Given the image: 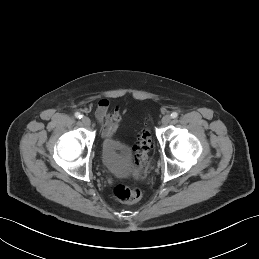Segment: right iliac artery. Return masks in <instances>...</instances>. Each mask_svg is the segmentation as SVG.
Returning <instances> with one entry per match:
<instances>
[{"instance_id": "obj_1", "label": "right iliac artery", "mask_w": 259, "mask_h": 259, "mask_svg": "<svg viewBox=\"0 0 259 259\" xmlns=\"http://www.w3.org/2000/svg\"><path fill=\"white\" fill-rule=\"evenodd\" d=\"M75 117L78 118V119H81L82 118V114L79 113V112H76L75 113Z\"/></svg>"}]
</instances>
